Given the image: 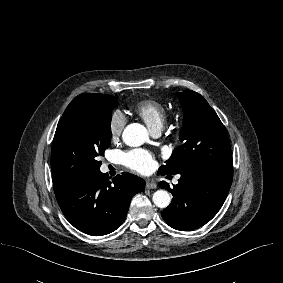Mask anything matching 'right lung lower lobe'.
<instances>
[{"mask_svg":"<svg viewBox=\"0 0 283 283\" xmlns=\"http://www.w3.org/2000/svg\"><path fill=\"white\" fill-rule=\"evenodd\" d=\"M145 188V181L124 172L109 180L100 170L55 189L66 219L83 233L102 236L124 221L132 197Z\"/></svg>","mask_w":283,"mask_h":283,"instance_id":"right-lung-lower-lobe-1","label":"right lung lower lobe"}]
</instances>
